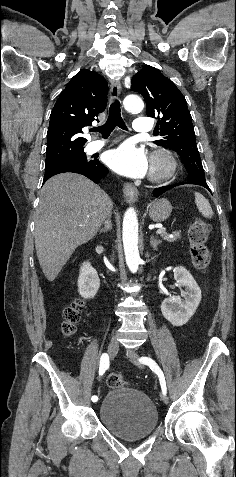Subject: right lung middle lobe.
I'll return each instance as SVG.
<instances>
[{
	"instance_id": "1",
	"label": "right lung middle lobe",
	"mask_w": 236,
	"mask_h": 477,
	"mask_svg": "<svg viewBox=\"0 0 236 477\" xmlns=\"http://www.w3.org/2000/svg\"><path fill=\"white\" fill-rule=\"evenodd\" d=\"M95 160H88L84 151L75 155L62 159L60 161L45 164V172L55 169H64L75 166H88L94 163Z\"/></svg>"
}]
</instances>
